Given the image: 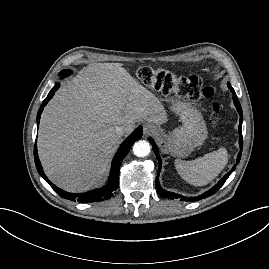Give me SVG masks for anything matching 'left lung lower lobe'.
Returning a JSON list of instances; mask_svg holds the SVG:
<instances>
[{"mask_svg":"<svg viewBox=\"0 0 269 269\" xmlns=\"http://www.w3.org/2000/svg\"><path fill=\"white\" fill-rule=\"evenodd\" d=\"M228 88L230 89V91L233 93V100H234V105L236 106V109L240 115V123H239V145H240V152L238 154V157H237V161L236 163L238 164L239 161H240V158H241V153H242V145H243V137H242V122H243V113H242V109H241V106H240V102L239 100L237 99V96H236V93L234 91V89L232 88V86L230 85V83L228 82L227 84ZM150 143L152 144V148H153V151L159 161V169H158V172H160V169H161V165H162V161H161V158H160V155H159V152H158V148H157V145L155 144V142L152 140V139H149ZM235 167H236V164L233 166V168L213 187L211 188L210 190H208L207 192L203 193L202 195H199V196H196V197H185V196H182V195H179V194H176V193H173V192H169V191H166V190H163L159 184V173L156 177V180H155V187H156V190L158 192V194L163 197V198H170V199H181V200H185V201H197V200H201V199H204L206 197H209L211 195H213L215 192H217L221 186L225 183V181L227 180V178L230 176V174L235 170Z\"/></svg>","mask_w":269,"mask_h":269,"instance_id":"0a47b994","label":"left lung lower lobe"}]
</instances>
